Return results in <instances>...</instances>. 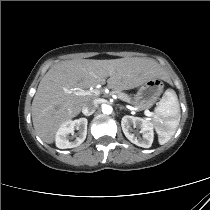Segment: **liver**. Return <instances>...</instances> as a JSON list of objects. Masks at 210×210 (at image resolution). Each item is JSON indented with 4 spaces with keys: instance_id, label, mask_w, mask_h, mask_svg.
Returning <instances> with one entry per match:
<instances>
[{
    "instance_id": "1",
    "label": "liver",
    "mask_w": 210,
    "mask_h": 210,
    "mask_svg": "<svg viewBox=\"0 0 210 210\" xmlns=\"http://www.w3.org/2000/svg\"><path fill=\"white\" fill-rule=\"evenodd\" d=\"M163 69L152 59H78L55 64L41 79L32 102V121L38 136L53 143L58 128L76 117L95 95H76L105 84L115 91L133 89L144 82L161 78Z\"/></svg>"
}]
</instances>
